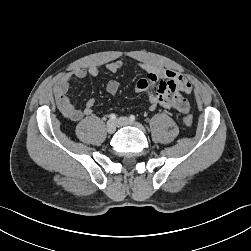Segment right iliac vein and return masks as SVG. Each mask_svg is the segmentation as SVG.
Returning a JSON list of instances; mask_svg holds the SVG:
<instances>
[{
    "instance_id": "obj_1",
    "label": "right iliac vein",
    "mask_w": 251,
    "mask_h": 251,
    "mask_svg": "<svg viewBox=\"0 0 251 251\" xmlns=\"http://www.w3.org/2000/svg\"><path fill=\"white\" fill-rule=\"evenodd\" d=\"M117 123L114 120H109L106 125V130L109 134H113L116 131Z\"/></svg>"
}]
</instances>
